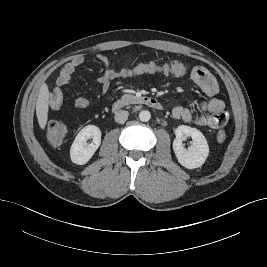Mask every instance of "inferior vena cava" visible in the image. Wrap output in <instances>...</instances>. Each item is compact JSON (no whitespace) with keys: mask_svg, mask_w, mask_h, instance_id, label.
<instances>
[{"mask_svg":"<svg viewBox=\"0 0 267 267\" xmlns=\"http://www.w3.org/2000/svg\"><path fill=\"white\" fill-rule=\"evenodd\" d=\"M128 116H129L128 111L120 110V111L115 113V121L117 123L123 124L128 119Z\"/></svg>","mask_w":267,"mask_h":267,"instance_id":"inferior-vena-cava-1","label":"inferior vena cava"}]
</instances>
